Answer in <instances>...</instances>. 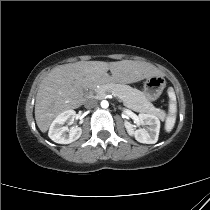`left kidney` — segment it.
<instances>
[{"instance_id":"left-kidney-1","label":"left kidney","mask_w":210,"mask_h":210,"mask_svg":"<svg viewBox=\"0 0 210 210\" xmlns=\"http://www.w3.org/2000/svg\"><path fill=\"white\" fill-rule=\"evenodd\" d=\"M139 125H147V128L135 130L129 123H125V128L129 135H133L135 139L144 144H155L158 141L160 131V120L153 114L141 113L137 117Z\"/></svg>"}]
</instances>
